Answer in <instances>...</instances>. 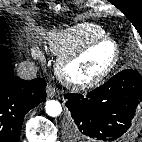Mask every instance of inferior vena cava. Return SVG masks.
Wrapping results in <instances>:
<instances>
[{"label": "inferior vena cava", "mask_w": 142, "mask_h": 142, "mask_svg": "<svg viewBox=\"0 0 142 142\" xmlns=\"http://www.w3.org/2000/svg\"><path fill=\"white\" fill-rule=\"evenodd\" d=\"M38 68L30 61H23L17 67V75L24 80H32L36 77Z\"/></svg>", "instance_id": "inferior-vena-cava-1"}]
</instances>
